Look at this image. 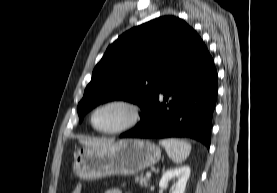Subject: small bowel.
<instances>
[{
    "label": "small bowel",
    "mask_w": 277,
    "mask_h": 193,
    "mask_svg": "<svg viewBox=\"0 0 277 193\" xmlns=\"http://www.w3.org/2000/svg\"><path fill=\"white\" fill-rule=\"evenodd\" d=\"M104 193H128V192H125L119 188H110L108 190H106Z\"/></svg>",
    "instance_id": "1"
}]
</instances>
